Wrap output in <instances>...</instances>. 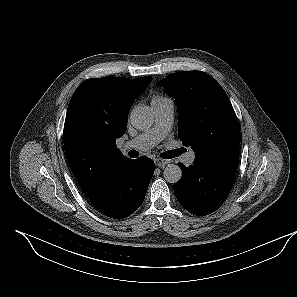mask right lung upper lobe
<instances>
[{"label":"right lung upper lobe","instance_id":"cb5924a9","mask_svg":"<svg viewBox=\"0 0 297 297\" xmlns=\"http://www.w3.org/2000/svg\"><path fill=\"white\" fill-rule=\"evenodd\" d=\"M151 81V76L88 79L69 102L63 134L65 153L91 202L98 198L113 170L127 159L116 148V139L126 132L129 108Z\"/></svg>","mask_w":297,"mask_h":297}]
</instances>
